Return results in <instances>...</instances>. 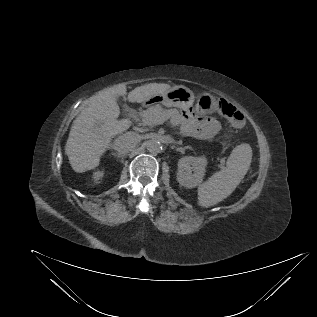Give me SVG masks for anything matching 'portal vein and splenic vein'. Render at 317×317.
<instances>
[{"label": "portal vein and splenic vein", "instance_id": "18ae733b", "mask_svg": "<svg viewBox=\"0 0 317 317\" xmlns=\"http://www.w3.org/2000/svg\"><path fill=\"white\" fill-rule=\"evenodd\" d=\"M165 122V115L164 114H159L156 117H154L153 119L150 120V124L153 125H159Z\"/></svg>", "mask_w": 317, "mask_h": 317}]
</instances>
